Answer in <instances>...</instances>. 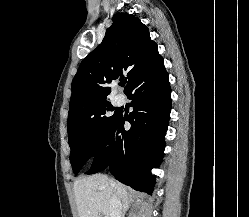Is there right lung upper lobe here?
<instances>
[{"label": "right lung upper lobe", "instance_id": "right-lung-upper-lobe-1", "mask_svg": "<svg viewBox=\"0 0 249 217\" xmlns=\"http://www.w3.org/2000/svg\"><path fill=\"white\" fill-rule=\"evenodd\" d=\"M149 29L132 14H115L102 43L81 62L72 81L68 118L107 101L106 84L126 74L125 93L158 55Z\"/></svg>", "mask_w": 249, "mask_h": 217}]
</instances>
